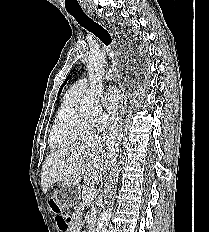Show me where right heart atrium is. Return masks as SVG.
Segmentation results:
<instances>
[{"label": "right heart atrium", "mask_w": 209, "mask_h": 232, "mask_svg": "<svg viewBox=\"0 0 209 232\" xmlns=\"http://www.w3.org/2000/svg\"><path fill=\"white\" fill-rule=\"evenodd\" d=\"M115 119V115L114 114H103L101 115L99 118H97L96 120V124L99 127H107L109 126Z\"/></svg>", "instance_id": "obj_1"}]
</instances>
